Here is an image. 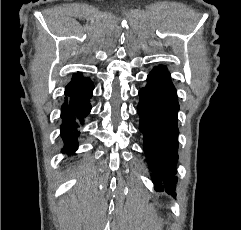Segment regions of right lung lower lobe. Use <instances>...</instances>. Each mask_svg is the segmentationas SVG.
I'll list each match as a JSON object with an SVG mask.
<instances>
[{"label":"right lung lower lobe","instance_id":"right-lung-lower-lobe-1","mask_svg":"<svg viewBox=\"0 0 241 230\" xmlns=\"http://www.w3.org/2000/svg\"><path fill=\"white\" fill-rule=\"evenodd\" d=\"M93 82L81 73H74L70 83L65 87V102L61 107V137L64 141L63 152H74L78 147V122L90 113Z\"/></svg>","mask_w":241,"mask_h":230}]
</instances>
